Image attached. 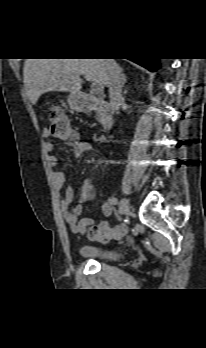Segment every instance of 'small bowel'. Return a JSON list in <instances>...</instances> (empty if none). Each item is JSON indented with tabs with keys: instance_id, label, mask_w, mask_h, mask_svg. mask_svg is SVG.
Masks as SVG:
<instances>
[{
	"instance_id": "c3829d8e",
	"label": "small bowel",
	"mask_w": 206,
	"mask_h": 348,
	"mask_svg": "<svg viewBox=\"0 0 206 348\" xmlns=\"http://www.w3.org/2000/svg\"><path fill=\"white\" fill-rule=\"evenodd\" d=\"M43 137L47 138L50 135L48 129H44L42 132ZM45 152L47 154V161L52 169V177L56 188L61 190L65 185L64 174L56 170L58 161L54 156V146L50 142H46L44 145ZM93 147L89 142L77 141L73 144L74 158L76 161H80L85 153L92 151ZM95 190L91 179H84L82 182V189L80 196H76L72 187H68L63 194L61 200V210L64 219L72 232L78 234H85L89 227L93 226L95 221L91 217L79 218L83 212V203L94 197ZM102 212L105 216H110L112 213L111 202H103L101 206Z\"/></svg>"
}]
</instances>
